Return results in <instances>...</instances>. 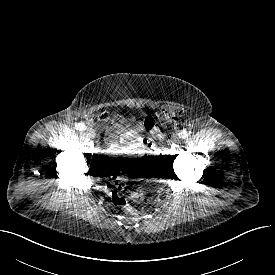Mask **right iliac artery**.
Masks as SVG:
<instances>
[{
    "instance_id": "right-iliac-artery-1",
    "label": "right iliac artery",
    "mask_w": 275,
    "mask_h": 275,
    "mask_svg": "<svg viewBox=\"0 0 275 275\" xmlns=\"http://www.w3.org/2000/svg\"><path fill=\"white\" fill-rule=\"evenodd\" d=\"M75 128L79 131H85L86 130V126L84 123H77Z\"/></svg>"
}]
</instances>
